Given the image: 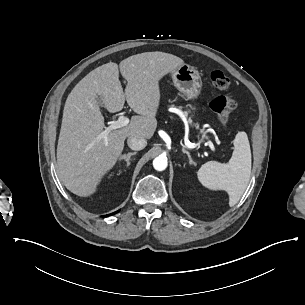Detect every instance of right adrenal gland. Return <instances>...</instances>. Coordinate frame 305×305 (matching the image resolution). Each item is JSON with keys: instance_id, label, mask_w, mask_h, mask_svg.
<instances>
[{"instance_id": "obj_1", "label": "right adrenal gland", "mask_w": 305, "mask_h": 305, "mask_svg": "<svg viewBox=\"0 0 305 305\" xmlns=\"http://www.w3.org/2000/svg\"><path fill=\"white\" fill-rule=\"evenodd\" d=\"M136 155V152L134 153H128L127 155H124L120 160H119V164L121 161H125L126 162V168L129 167V160H130V157L131 156H134Z\"/></svg>"}]
</instances>
